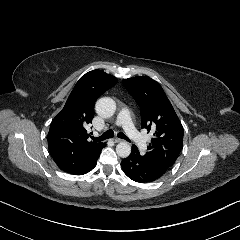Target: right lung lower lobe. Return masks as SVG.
Here are the masks:
<instances>
[{
	"instance_id": "right-lung-lower-lobe-1",
	"label": "right lung lower lobe",
	"mask_w": 240,
	"mask_h": 240,
	"mask_svg": "<svg viewBox=\"0 0 240 240\" xmlns=\"http://www.w3.org/2000/svg\"><path fill=\"white\" fill-rule=\"evenodd\" d=\"M96 162H97V160L89 168H87L83 172H81L79 174H76V175H83V174H86V173L90 172L96 166Z\"/></svg>"
}]
</instances>
